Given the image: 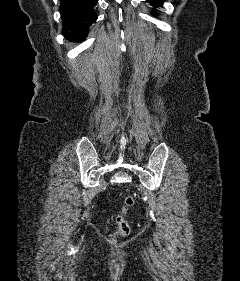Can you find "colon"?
Segmentation results:
<instances>
[{"mask_svg":"<svg viewBox=\"0 0 240 281\" xmlns=\"http://www.w3.org/2000/svg\"><path fill=\"white\" fill-rule=\"evenodd\" d=\"M134 204L135 199L132 196L124 197L119 214L116 217L118 230L113 237V243H116L118 239L124 238L130 233V227L125 217L129 213L130 209L134 206Z\"/></svg>","mask_w":240,"mask_h":281,"instance_id":"5ec220e1","label":"colon"}]
</instances>
